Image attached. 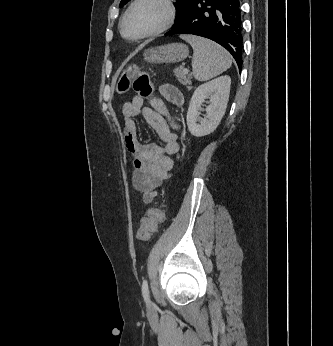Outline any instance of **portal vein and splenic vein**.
<instances>
[{"label":"portal vein and splenic vein","mask_w":333,"mask_h":346,"mask_svg":"<svg viewBox=\"0 0 333 346\" xmlns=\"http://www.w3.org/2000/svg\"><path fill=\"white\" fill-rule=\"evenodd\" d=\"M183 71H184L185 73H188V69H186V68H185V69H183Z\"/></svg>","instance_id":"18ae733b"}]
</instances>
